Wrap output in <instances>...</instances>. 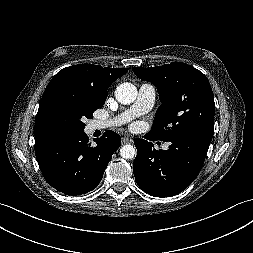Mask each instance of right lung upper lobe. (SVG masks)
Instances as JSON below:
<instances>
[{"instance_id":"cb5924a9","label":"right lung upper lobe","mask_w":253,"mask_h":253,"mask_svg":"<svg viewBox=\"0 0 253 253\" xmlns=\"http://www.w3.org/2000/svg\"><path fill=\"white\" fill-rule=\"evenodd\" d=\"M127 68H109L93 64H78L59 71L46 88L55 84L85 87L97 94L107 95L111 84L124 75Z\"/></svg>"}]
</instances>
